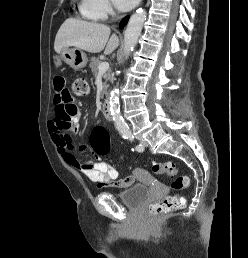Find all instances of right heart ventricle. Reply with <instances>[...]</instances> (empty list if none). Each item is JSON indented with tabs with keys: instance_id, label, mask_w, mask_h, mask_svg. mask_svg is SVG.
<instances>
[{
	"instance_id": "obj_1",
	"label": "right heart ventricle",
	"mask_w": 248,
	"mask_h": 258,
	"mask_svg": "<svg viewBox=\"0 0 248 258\" xmlns=\"http://www.w3.org/2000/svg\"><path fill=\"white\" fill-rule=\"evenodd\" d=\"M80 10H81V13L82 15L87 18V19H94L93 17H91L89 14H87L84 9H83V3L80 5Z\"/></svg>"
}]
</instances>
